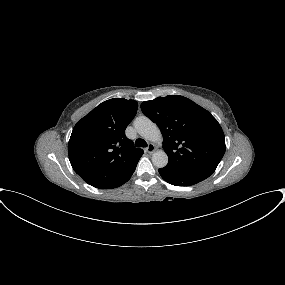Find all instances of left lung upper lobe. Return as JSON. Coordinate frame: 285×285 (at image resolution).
Instances as JSON below:
<instances>
[{"mask_svg": "<svg viewBox=\"0 0 285 285\" xmlns=\"http://www.w3.org/2000/svg\"><path fill=\"white\" fill-rule=\"evenodd\" d=\"M141 109L161 130L169 157L166 168L214 173L226 146L223 130L210 112L180 95L144 101Z\"/></svg>", "mask_w": 285, "mask_h": 285, "instance_id": "left-lung-upper-lobe-1", "label": "left lung upper lobe"}]
</instances>
